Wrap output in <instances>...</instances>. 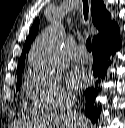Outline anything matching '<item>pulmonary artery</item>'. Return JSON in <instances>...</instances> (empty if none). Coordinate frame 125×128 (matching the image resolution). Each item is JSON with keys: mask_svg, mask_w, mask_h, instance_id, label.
Segmentation results:
<instances>
[{"mask_svg": "<svg viewBox=\"0 0 125 128\" xmlns=\"http://www.w3.org/2000/svg\"><path fill=\"white\" fill-rule=\"evenodd\" d=\"M70 56L73 62L84 63L88 61V54L83 45L76 47Z\"/></svg>", "mask_w": 125, "mask_h": 128, "instance_id": "1", "label": "pulmonary artery"}]
</instances>
